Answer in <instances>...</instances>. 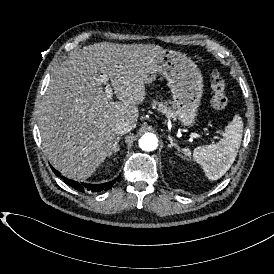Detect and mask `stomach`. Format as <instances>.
I'll return each mask as SVG.
<instances>
[{"instance_id":"1","label":"stomach","mask_w":274,"mask_h":274,"mask_svg":"<svg viewBox=\"0 0 274 274\" xmlns=\"http://www.w3.org/2000/svg\"><path fill=\"white\" fill-rule=\"evenodd\" d=\"M147 83L162 75L171 90L176 117L185 126H193L203 94V77L198 66L181 52L162 50L150 61Z\"/></svg>"}]
</instances>
